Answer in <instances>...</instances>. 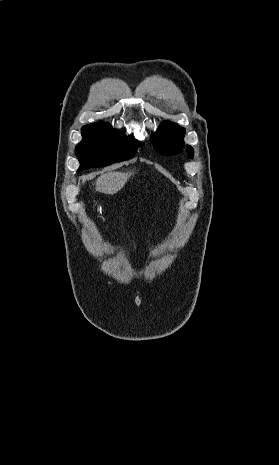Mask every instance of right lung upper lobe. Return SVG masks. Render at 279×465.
<instances>
[{
    "label": "right lung upper lobe",
    "mask_w": 279,
    "mask_h": 465,
    "mask_svg": "<svg viewBox=\"0 0 279 465\" xmlns=\"http://www.w3.org/2000/svg\"><path fill=\"white\" fill-rule=\"evenodd\" d=\"M102 125L110 126L108 123H105V122H103V121H100V122H97V123H92V124H89V125H85L84 127H82V130L87 129V128H90V127L102 126Z\"/></svg>",
    "instance_id": "obj_1"
}]
</instances>
